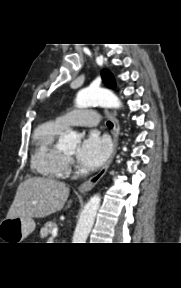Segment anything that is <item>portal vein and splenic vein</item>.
<instances>
[{
	"label": "portal vein and splenic vein",
	"instance_id": "obj_1",
	"mask_svg": "<svg viewBox=\"0 0 181 288\" xmlns=\"http://www.w3.org/2000/svg\"><path fill=\"white\" fill-rule=\"evenodd\" d=\"M52 235H51V238L50 239H53V238H55L57 235H58V230H57V228H54L53 230H52V233H51Z\"/></svg>",
	"mask_w": 181,
	"mask_h": 288
}]
</instances>
